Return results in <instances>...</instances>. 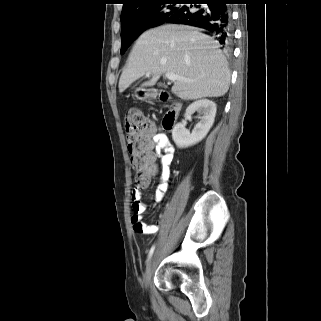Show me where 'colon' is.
Wrapping results in <instances>:
<instances>
[{
	"label": "colon",
	"mask_w": 321,
	"mask_h": 321,
	"mask_svg": "<svg viewBox=\"0 0 321 321\" xmlns=\"http://www.w3.org/2000/svg\"><path fill=\"white\" fill-rule=\"evenodd\" d=\"M152 125L145 115L136 108H131L125 115V133L131 162L135 168L138 182L149 178L152 174L150 165V144Z\"/></svg>",
	"instance_id": "5ec220e1"
}]
</instances>
